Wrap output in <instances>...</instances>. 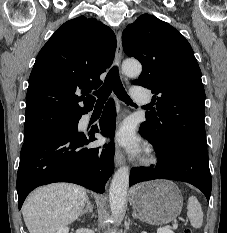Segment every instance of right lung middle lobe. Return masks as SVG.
Returning <instances> with one entry per match:
<instances>
[{
    "instance_id": "1",
    "label": "right lung middle lobe",
    "mask_w": 227,
    "mask_h": 233,
    "mask_svg": "<svg viewBox=\"0 0 227 233\" xmlns=\"http://www.w3.org/2000/svg\"><path fill=\"white\" fill-rule=\"evenodd\" d=\"M76 121H77V120H74V121L65 123V124H63V125H61V126L55 128V129H53V130L71 127V126H73V125L76 123ZM36 136H38V135H35V136H24V140H28V139H31V138L36 137Z\"/></svg>"
}]
</instances>
